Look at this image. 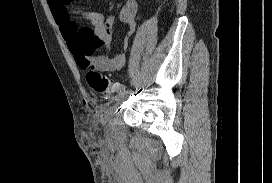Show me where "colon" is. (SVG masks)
<instances>
[{
  "instance_id": "5ec220e1",
  "label": "colon",
  "mask_w": 272,
  "mask_h": 183,
  "mask_svg": "<svg viewBox=\"0 0 272 183\" xmlns=\"http://www.w3.org/2000/svg\"><path fill=\"white\" fill-rule=\"evenodd\" d=\"M85 78L91 89L97 93H109L115 91L118 87L108 74L93 66L86 69Z\"/></svg>"
}]
</instances>
